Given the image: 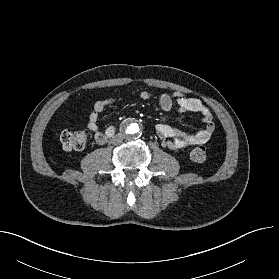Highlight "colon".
Returning a JSON list of instances; mask_svg holds the SVG:
<instances>
[{
  "instance_id": "1",
  "label": "colon",
  "mask_w": 279,
  "mask_h": 279,
  "mask_svg": "<svg viewBox=\"0 0 279 279\" xmlns=\"http://www.w3.org/2000/svg\"><path fill=\"white\" fill-rule=\"evenodd\" d=\"M59 142L65 150H81L86 147L88 142V132L82 130H62L58 134ZM190 157L195 162H202L207 157V149L204 146L194 148Z\"/></svg>"
}]
</instances>
